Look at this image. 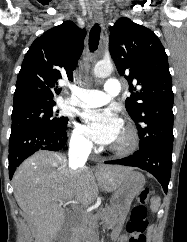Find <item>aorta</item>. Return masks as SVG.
<instances>
[{
	"label": "aorta",
	"instance_id": "aorta-1",
	"mask_svg": "<svg viewBox=\"0 0 187 242\" xmlns=\"http://www.w3.org/2000/svg\"><path fill=\"white\" fill-rule=\"evenodd\" d=\"M113 71V65L111 62L100 61L94 67V75L96 77H107Z\"/></svg>",
	"mask_w": 187,
	"mask_h": 242
}]
</instances>
